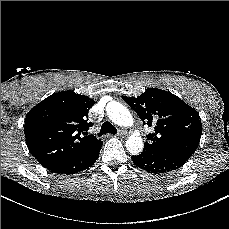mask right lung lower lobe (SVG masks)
<instances>
[{
	"instance_id": "right-lung-lower-lobe-1",
	"label": "right lung lower lobe",
	"mask_w": 229,
	"mask_h": 229,
	"mask_svg": "<svg viewBox=\"0 0 229 229\" xmlns=\"http://www.w3.org/2000/svg\"><path fill=\"white\" fill-rule=\"evenodd\" d=\"M102 141L87 151L73 156L67 160L60 161L51 166H45L48 170L59 174H74L87 169L95 163L101 150Z\"/></svg>"
}]
</instances>
